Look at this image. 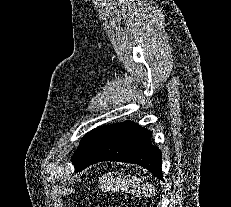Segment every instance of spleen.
<instances>
[{"label":"spleen","instance_id":"1","mask_svg":"<svg viewBox=\"0 0 231 207\" xmlns=\"http://www.w3.org/2000/svg\"><path fill=\"white\" fill-rule=\"evenodd\" d=\"M108 188L111 190H122L136 196H150L155 193V188L152 184L144 183L143 180L135 176H117L111 178L108 183Z\"/></svg>","mask_w":231,"mask_h":207}]
</instances>
